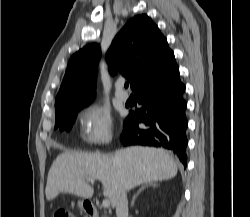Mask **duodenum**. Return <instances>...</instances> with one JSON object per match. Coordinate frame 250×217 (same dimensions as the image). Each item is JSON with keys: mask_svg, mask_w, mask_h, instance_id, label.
I'll use <instances>...</instances> for the list:
<instances>
[{"mask_svg": "<svg viewBox=\"0 0 250 217\" xmlns=\"http://www.w3.org/2000/svg\"><path fill=\"white\" fill-rule=\"evenodd\" d=\"M84 208H85L86 213L90 217H98L99 216V211L93 205H91V204H85Z\"/></svg>", "mask_w": 250, "mask_h": 217, "instance_id": "1", "label": "duodenum"}]
</instances>
